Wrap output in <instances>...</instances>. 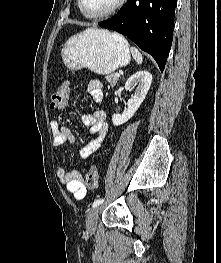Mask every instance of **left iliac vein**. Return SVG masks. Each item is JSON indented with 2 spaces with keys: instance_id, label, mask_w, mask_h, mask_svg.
<instances>
[{
  "instance_id": "1",
  "label": "left iliac vein",
  "mask_w": 221,
  "mask_h": 263,
  "mask_svg": "<svg viewBox=\"0 0 221 263\" xmlns=\"http://www.w3.org/2000/svg\"><path fill=\"white\" fill-rule=\"evenodd\" d=\"M99 211L100 206H96L93 207L88 213L86 227L90 233H93L96 230Z\"/></svg>"
}]
</instances>
